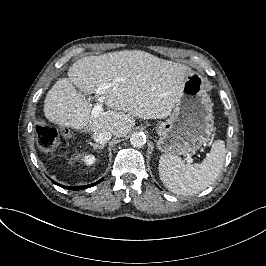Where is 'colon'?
Returning <instances> with one entry per match:
<instances>
[{
  "instance_id": "colon-1",
  "label": "colon",
  "mask_w": 266,
  "mask_h": 266,
  "mask_svg": "<svg viewBox=\"0 0 266 266\" xmlns=\"http://www.w3.org/2000/svg\"><path fill=\"white\" fill-rule=\"evenodd\" d=\"M38 144L43 150H53L58 145V131L50 124L41 123L36 127Z\"/></svg>"
}]
</instances>
